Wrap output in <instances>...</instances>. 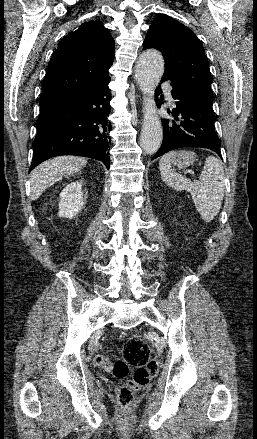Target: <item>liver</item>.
<instances>
[{
  "mask_svg": "<svg viewBox=\"0 0 257 439\" xmlns=\"http://www.w3.org/2000/svg\"><path fill=\"white\" fill-rule=\"evenodd\" d=\"M87 160L76 156H58L36 167L31 174V197L40 195L59 179L81 170Z\"/></svg>",
  "mask_w": 257,
  "mask_h": 439,
  "instance_id": "obj_1",
  "label": "liver"
}]
</instances>
